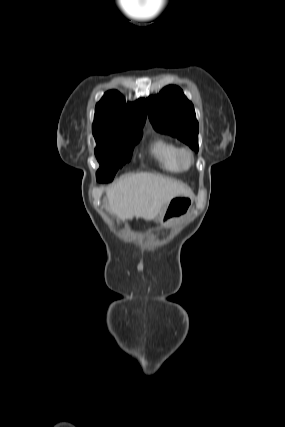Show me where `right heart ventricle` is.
<instances>
[{"label": "right heart ventricle", "mask_w": 285, "mask_h": 427, "mask_svg": "<svg viewBox=\"0 0 285 427\" xmlns=\"http://www.w3.org/2000/svg\"><path fill=\"white\" fill-rule=\"evenodd\" d=\"M179 146L170 139L158 137L150 147V154L159 167L169 173H180L177 155Z\"/></svg>", "instance_id": "1"}]
</instances>
